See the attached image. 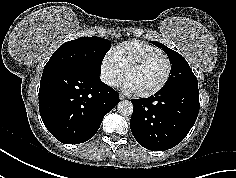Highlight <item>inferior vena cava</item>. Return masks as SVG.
Returning a JSON list of instances; mask_svg holds the SVG:
<instances>
[{"instance_id": "obj_1", "label": "inferior vena cava", "mask_w": 236, "mask_h": 178, "mask_svg": "<svg viewBox=\"0 0 236 178\" xmlns=\"http://www.w3.org/2000/svg\"><path fill=\"white\" fill-rule=\"evenodd\" d=\"M101 80L109 86H113L115 84L114 79L108 75H105V74L101 75Z\"/></svg>"}]
</instances>
